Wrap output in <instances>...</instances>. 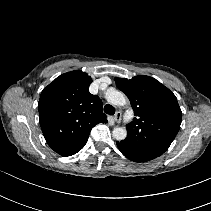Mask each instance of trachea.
Returning a JSON list of instances; mask_svg holds the SVG:
<instances>
[{"label": "trachea", "mask_w": 211, "mask_h": 211, "mask_svg": "<svg viewBox=\"0 0 211 211\" xmlns=\"http://www.w3.org/2000/svg\"><path fill=\"white\" fill-rule=\"evenodd\" d=\"M104 112H105L106 114H109V115H114V113H115V108H114L112 105H110V104H106V105L104 106Z\"/></svg>", "instance_id": "3493384b"}]
</instances>
